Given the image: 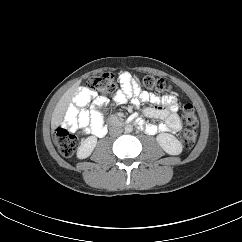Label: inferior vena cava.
I'll list each match as a JSON object with an SVG mask.
<instances>
[{"label":"inferior vena cava","instance_id":"obj_1","mask_svg":"<svg viewBox=\"0 0 242 242\" xmlns=\"http://www.w3.org/2000/svg\"><path fill=\"white\" fill-rule=\"evenodd\" d=\"M123 132V129L121 127H113L111 130H110V134L112 136H118L120 135L121 133Z\"/></svg>","mask_w":242,"mask_h":242}]
</instances>
